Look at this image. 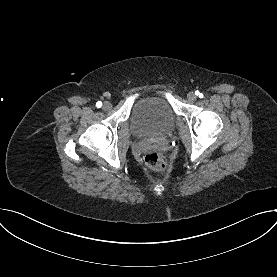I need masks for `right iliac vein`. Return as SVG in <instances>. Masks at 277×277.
<instances>
[{
    "mask_svg": "<svg viewBox=\"0 0 277 277\" xmlns=\"http://www.w3.org/2000/svg\"><path fill=\"white\" fill-rule=\"evenodd\" d=\"M111 108H112V105H111L110 102H108V101L104 102V104H103V110L108 111Z\"/></svg>",
    "mask_w": 277,
    "mask_h": 277,
    "instance_id": "obj_1",
    "label": "right iliac vein"
}]
</instances>
